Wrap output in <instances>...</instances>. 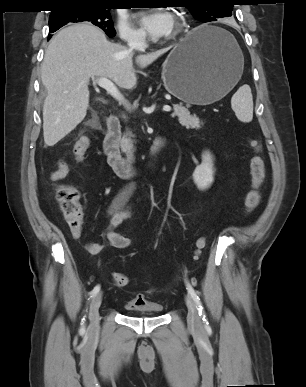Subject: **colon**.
<instances>
[{"label":"colon","instance_id":"1","mask_svg":"<svg viewBox=\"0 0 306 387\" xmlns=\"http://www.w3.org/2000/svg\"><path fill=\"white\" fill-rule=\"evenodd\" d=\"M249 144L254 151L250 161L251 189L245 199V211L251 213L259 204L260 188L265 179V163L262 156V148L259 140L252 138ZM90 147V139L81 137L74 145L73 154L77 161H82ZM56 199L60 210L73 235H79L83 227V209L80 204L78 190L67 184H60L56 188ZM207 241L199 238L196 242V254L199 256L205 249ZM112 281L119 287L130 284V278L122 273H113Z\"/></svg>","mask_w":306,"mask_h":387}]
</instances>
